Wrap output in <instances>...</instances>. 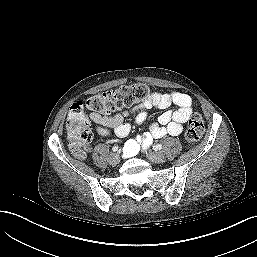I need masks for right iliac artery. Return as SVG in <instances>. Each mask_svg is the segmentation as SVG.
Returning a JSON list of instances; mask_svg holds the SVG:
<instances>
[{
    "mask_svg": "<svg viewBox=\"0 0 257 257\" xmlns=\"http://www.w3.org/2000/svg\"><path fill=\"white\" fill-rule=\"evenodd\" d=\"M112 150H113V151H117V150H118V147L115 146V147L112 148Z\"/></svg>",
    "mask_w": 257,
    "mask_h": 257,
    "instance_id": "obj_1",
    "label": "right iliac artery"
}]
</instances>
